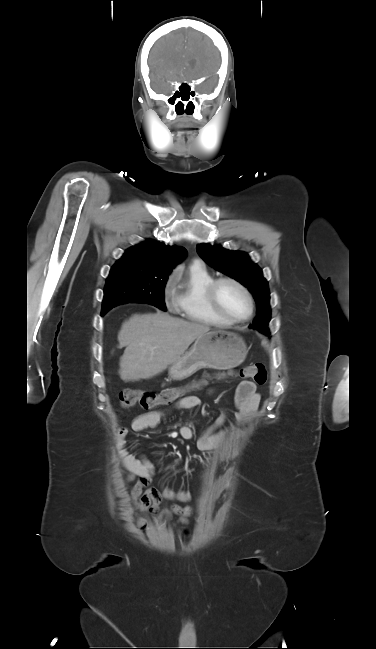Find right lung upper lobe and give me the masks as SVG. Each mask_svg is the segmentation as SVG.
I'll return each instance as SVG.
<instances>
[{"label": "right lung upper lobe", "mask_w": 376, "mask_h": 649, "mask_svg": "<svg viewBox=\"0 0 376 649\" xmlns=\"http://www.w3.org/2000/svg\"><path fill=\"white\" fill-rule=\"evenodd\" d=\"M186 249L166 246L148 240L128 249L120 260H131L142 265L150 273L171 272L172 268L186 256Z\"/></svg>", "instance_id": "1"}]
</instances>
